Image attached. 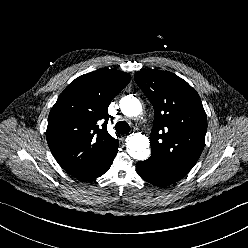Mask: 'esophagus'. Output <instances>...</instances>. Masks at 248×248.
I'll list each match as a JSON object with an SVG mask.
<instances>
[{"label":"esophagus","mask_w":248,"mask_h":248,"mask_svg":"<svg viewBox=\"0 0 248 248\" xmlns=\"http://www.w3.org/2000/svg\"><path fill=\"white\" fill-rule=\"evenodd\" d=\"M127 136V134H122L121 137L122 138H125Z\"/></svg>","instance_id":"34e87169"}]
</instances>
